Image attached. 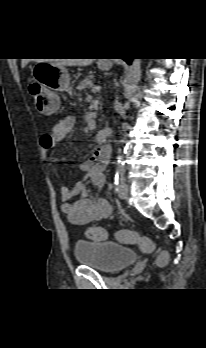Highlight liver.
Here are the masks:
<instances>
[{"mask_svg":"<svg viewBox=\"0 0 206 348\" xmlns=\"http://www.w3.org/2000/svg\"><path fill=\"white\" fill-rule=\"evenodd\" d=\"M30 59L22 60V67H25ZM94 59H53L50 60L58 66H89L93 63Z\"/></svg>","mask_w":206,"mask_h":348,"instance_id":"obj_1","label":"liver"}]
</instances>
